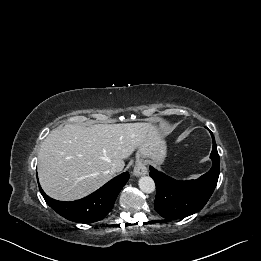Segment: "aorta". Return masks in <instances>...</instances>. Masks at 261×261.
<instances>
[{
    "instance_id": "762f6f07",
    "label": "aorta",
    "mask_w": 261,
    "mask_h": 261,
    "mask_svg": "<svg viewBox=\"0 0 261 261\" xmlns=\"http://www.w3.org/2000/svg\"><path fill=\"white\" fill-rule=\"evenodd\" d=\"M139 188L144 193H152L155 190V182L149 176H143L139 179Z\"/></svg>"
}]
</instances>
